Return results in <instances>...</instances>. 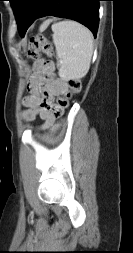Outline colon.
<instances>
[{"instance_id":"colon-1","label":"colon","mask_w":133,"mask_h":253,"mask_svg":"<svg viewBox=\"0 0 133 253\" xmlns=\"http://www.w3.org/2000/svg\"><path fill=\"white\" fill-rule=\"evenodd\" d=\"M41 53L51 56L53 54V46L45 36L38 35L30 39L26 47V55L34 59ZM66 83H68L69 91L67 95L58 99L53 109L56 115L62 114L63 111L68 108L71 97L81 91V82L79 80H75V78H66Z\"/></svg>"}]
</instances>
